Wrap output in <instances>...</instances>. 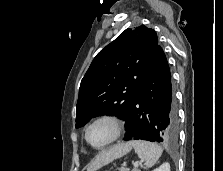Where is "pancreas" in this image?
<instances>
[{
    "label": "pancreas",
    "mask_w": 223,
    "mask_h": 171,
    "mask_svg": "<svg viewBox=\"0 0 223 171\" xmlns=\"http://www.w3.org/2000/svg\"><path fill=\"white\" fill-rule=\"evenodd\" d=\"M132 171H140L139 169H133Z\"/></svg>",
    "instance_id": "obj_1"
}]
</instances>
